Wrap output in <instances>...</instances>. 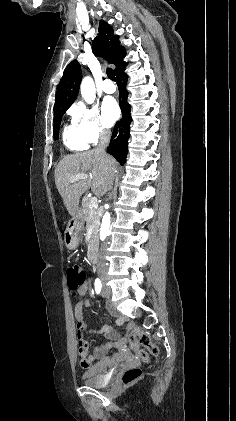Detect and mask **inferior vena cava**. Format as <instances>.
Listing matches in <instances>:
<instances>
[{
  "instance_id": "inferior-vena-cava-1",
  "label": "inferior vena cava",
  "mask_w": 236,
  "mask_h": 421,
  "mask_svg": "<svg viewBox=\"0 0 236 421\" xmlns=\"http://www.w3.org/2000/svg\"><path fill=\"white\" fill-rule=\"evenodd\" d=\"M100 142L95 146L96 152H103L105 154V148H107L110 142L111 130H107V128H100ZM106 245H104L103 249H105ZM98 273H106V259L103 257L102 253H100L99 261L96 267Z\"/></svg>"
}]
</instances>
